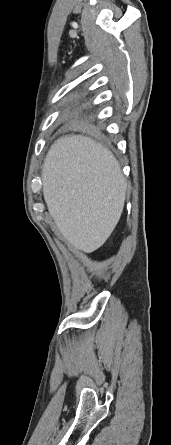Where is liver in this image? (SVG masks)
Listing matches in <instances>:
<instances>
[{
  "instance_id": "1",
  "label": "liver",
  "mask_w": 171,
  "mask_h": 445,
  "mask_svg": "<svg viewBox=\"0 0 171 445\" xmlns=\"http://www.w3.org/2000/svg\"><path fill=\"white\" fill-rule=\"evenodd\" d=\"M42 184L49 213L69 244L91 253L106 242L128 186L107 148L82 135L57 139L44 160Z\"/></svg>"
}]
</instances>
